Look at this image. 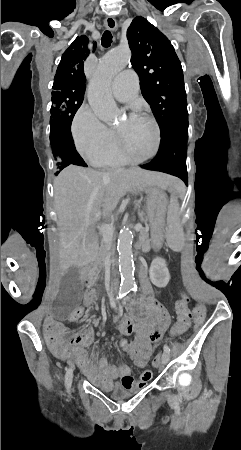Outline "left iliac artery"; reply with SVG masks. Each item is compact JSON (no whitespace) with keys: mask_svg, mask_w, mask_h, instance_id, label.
Returning a JSON list of instances; mask_svg holds the SVG:
<instances>
[{"mask_svg":"<svg viewBox=\"0 0 241 450\" xmlns=\"http://www.w3.org/2000/svg\"><path fill=\"white\" fill-rule=\"evenodd\" d=\"M133 290H134V291H137V288L134 287ZM164 351H165L166 353L170 354V348H169L168 345H164Z\"/></svg>","mask_w":241,"mask_h":450,"instance_id":"1","label":"left iliac artery"}]
</instances>
